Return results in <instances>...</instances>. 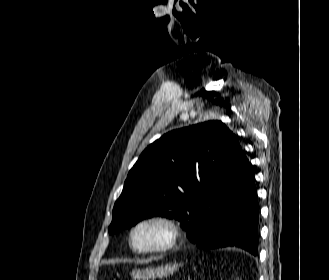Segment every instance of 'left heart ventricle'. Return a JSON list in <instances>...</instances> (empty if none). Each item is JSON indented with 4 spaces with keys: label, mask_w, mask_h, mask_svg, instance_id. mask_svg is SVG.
<instances>
[{
    "label": "left heart ventricle",
    "mask_w": 329,
    "mask_h": 280,
    "mask_svg": "<svg viewBox=\"0 0 329 280\" xmlns=\"http://www.w3.org/2000/svg\"><path fill=\"white\" fill-rule=\"evenodd\" d=\"M167 237L164 227L148 224L140 227L134 234L133 242L137 248H148L162 244Z\"/></svg>",
    "instance_id": "obj_1"
}]
</instances>
